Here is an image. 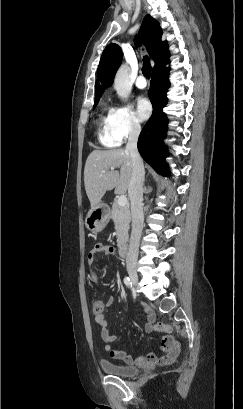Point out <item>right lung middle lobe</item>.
I'll return each instance as SVG.
<instances>
[{
    "label": "right lung middle lobe",
    "instance_id": "1",
    "mask_svg": "<svg viewBox=\"0 0 243 409\" xmlns=\"http://www.w3.org/2000/svg\"><path fill=\"white\" fill-rule=\"evenodd\" d=\"M99 99H100V98H95V102H94V107H93V108H95V107L97 106V104H98V102H99Z\"/></svg>",
    "mask_w": 243,
    "mask_h": 409
}]
</instances>
